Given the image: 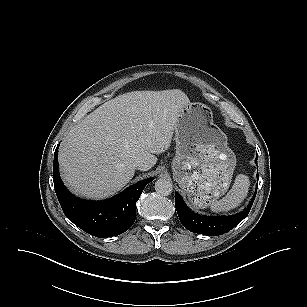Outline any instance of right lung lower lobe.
Instances as JSON below:
<instances>
[{"instance_id":"right-lung-lower-lobe-1","label":"right lung lower lobe","mask_w":307,"mask_h":307,"mask_svg":"<svg viewBox=\"0 0 307 307\" xmlns=\"http://www.w3.org/2000/svg\"><path fill=\"white\" fill-rule=\"evenodd\" d=\"M58 146L54 153V188L66 217L90 235L106 238L127 231L135 221V205L148 178L130 186L117 196L104 201H88L74 197L63 184L58 170Z\"/></svg>"}]
</instances>
